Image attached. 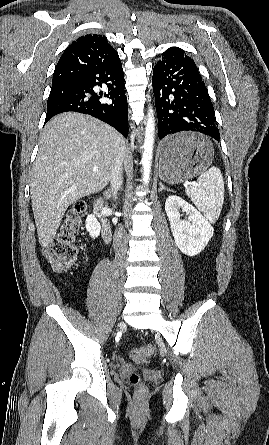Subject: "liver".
Listing matches in <instances>:
<instances>
[{
	"label": "liver",
	"mask_w": 269,
	"mask_h": 445,
	"mask_svg": "<svg viewBox=\"0 0 269 445\" xmlns=\"http://www.w3.org/2000/svg\"><path fill=\"white\" fill-rule=\"evenodd\" d=\"M127 152L121 134L91 116L67 112L46 124L31 179L32 209L43 248L53 241L67 208L102 190L111 180L116 158H126Z\"/></svg>",
	"instance_id": "obj_1"
}]
</instances>
